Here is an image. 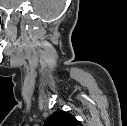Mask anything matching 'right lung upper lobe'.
Returning a JSON list of instances; mask_svg holds the SVG:
<instances>
[{"instance_id":"cb5924a9","label":"right lung upper lobe","mask_w":127,"mask_h":126,"mask_svg":"<svg viewBox=\"0 0 127 126\" xmlns=\"http://www.w3.org/2000/svg\"><path fill=\"white\" fill-rule=\"evenodd\" d=\"M44 126H82L80 121L68 112L57 110L44 123Z\"/></svg>"}]
</instances>
